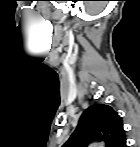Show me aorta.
<instances>
[{"mask_svg":"<svg viewBox=\"0 0 140 147\" xmlns=\"http://www.w3.org/2000/svg\"><path fill=\"white\" fill-rule=\"evenodd\" d=\"M93 145L95 146V145H97V143H94Z\"/></svg>","mask_w":140,"mask_h":147,"instance_id":"obj_1","label":"aorta"}]
</instances>
